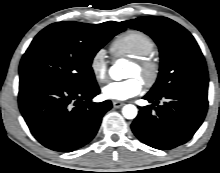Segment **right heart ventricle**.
<instances>
[{
  "label": "right heart ventricle",
  "mask_w": 220,
  "mask_h": 173,
  "mask_svg": "<svg viewBox=\"0 0 220 173\" xmlns=\"http://www.w3.org/2000/svg\"><path fill=\"white\" fill-rule=\"evenodd\" d=\"M155 47V42L147 34L138 30H128L113 41L110 50L117 58L134 59L152 54Z\"/></svg>",
  "instance_id": "e07e8e85"
}]
</instances>
